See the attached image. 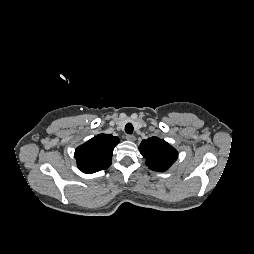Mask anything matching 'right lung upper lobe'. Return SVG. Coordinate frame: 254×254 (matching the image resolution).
Here are the masks:
<instances>
[{
  "label": "right lung upper lobe",
  "instance_id": "obj_1",
  "mask_svg": "<svg viewBox=\"0 0 254 254\" xmlns=\"http://www.w3.org/2000/svg\"><path fill=\"white\" fill-rule=\"evenodd\" d=\"M118 143V137L110 134L93 137L75 151L78 168L87 174L107 169L111 165L113 149Z\"/></svg>",
  "mask_w": 254,
  "mask_h": 254
}]
</instances>
